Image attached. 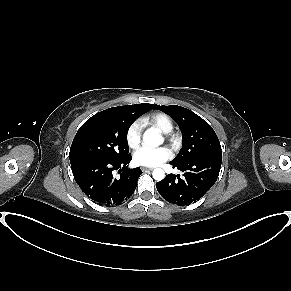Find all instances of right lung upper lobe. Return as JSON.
I'll use <instances>...</instances> for the list:
<instances>
[{
  "label": "right lung upper lobe",
  "mask_w": 291,
  "mask_h": 291,
  "mask_svg": "<svg viewBox=\"0 0 291 291\" xmlns=\"http://www.w3.org/2000/svg\"><path fill=\"white\" fill-rule=\"evenodd\" d=\"M155 107H156V105H153V104H135V105L132 106V108H134V109L149 108V110H151V109H153Z\"/></svg>",
  "instance_id": "obj_1"
}]
</instances>
